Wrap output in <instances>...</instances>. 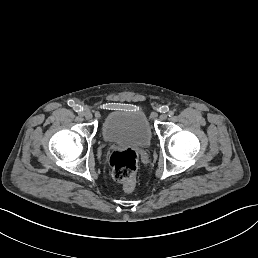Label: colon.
Masks as SVG:
<instances>
[{
	"mask_svg": "<svg viewBox=\"0 0 258 258\" xmlns=\"http://www.w3.org/2000/svg\"><path fill=\"white\" fill-rule=\"evenodd\" d=\"M109 163L112 176L126 191L134 189L138 167V155L132 149L113 150Z\"/></svg>",
	"mask_w": 258,
	"mask_h": 258,
	"instance_id": "1",
	"label": "colon"
}]
</instances>
